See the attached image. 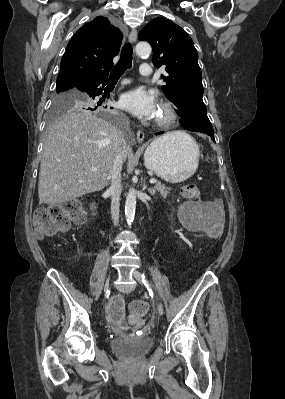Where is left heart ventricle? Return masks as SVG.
<instances>
[{"instance_id": "obj_1", "label": "left heart ventricle", "mask_w": 285, "mask_h": 399, "mask_svg": "<svg viewBox=\"0 0 285 399\" xmlns=\"http://www.w3.org/2000/svg\"><path fill=\"white\" fill-rule=\"evenodd\" d=\"M163 116V112L159 109L157 117Z\"/></svg>"}]
</instances>
